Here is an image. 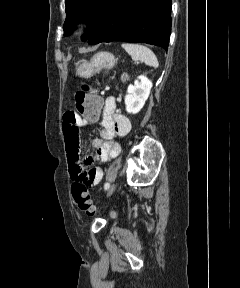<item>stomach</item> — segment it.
Returning a JSON list of instances; mask_svg holds the SVG:
<instances>
[{"mask_svg": "<svg viewBox=\"0 0 240 288\" xmlns=\"http://www.w3.org/2000/svg\"><path fill=\"white\" fill-rule=\"evenodd\" d=\"M117 59L109 52H99L90 61L81 60L76 64V74L81 77H91L102 68H112Z\"/></svg>", "mask_w": 240, "mask_h": 288, "instance_id": "obj_1", "label": "stomach"}]
</instances>
